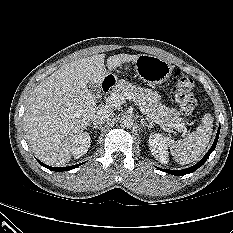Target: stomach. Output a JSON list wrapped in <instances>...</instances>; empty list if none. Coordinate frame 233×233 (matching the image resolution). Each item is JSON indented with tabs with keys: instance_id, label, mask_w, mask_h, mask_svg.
<instances>
[{
	"instance_id": "obj_1",
	"label": "stomach",
	"mask_w": 233,
	"mask_h": 233,
	"mask_svg": "<svg viewBox=\"0 0 233 233\" xmlns=\"http://www.w3.org/2000/svg\"><path fill=\"white\" fill-rule=\"evenodd\" d=\"M134 63L137 75L144 83L152 87L167 81L173 69L170 62L153 55H139Z\"/></svg>"
}]
</instances>
